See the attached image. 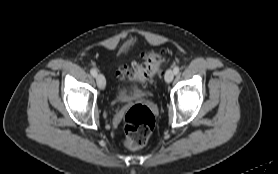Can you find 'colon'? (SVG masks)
Returning <instances> with one entry per match:
<instances>
[{
    "mask_svg": "<svg viewBox=\"0 0 278 174\" xmlns=\"http://www.w3.org/2000/svg\"><path fill=\"white\" fill-rule=\"evenodd\" d=\"M164 56L159 52H148L142 61L134 62L131 68H123L119 76L130 82L147 83L158 71ZM155 126V118L151 110L144 105L133 106L124 117L125 145L130 149L143 147Z\"/></svg>",
    "mask_w": 278,
    "mask_h": 174,
    "instance_id": "colon-1",
    "label": "colon"
}]
</instances>
